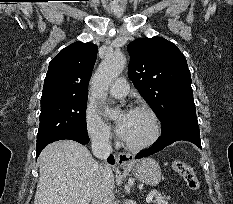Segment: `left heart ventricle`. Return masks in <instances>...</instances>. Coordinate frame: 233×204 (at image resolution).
Returning a JSON list of instances; mask_svg holds the SVG:
<instances>
[{
	"mask_svg": "<svg viewBox=\"0 0 233 204\" xmlns=\"http://www.w3.org/2000/svg\"><path fill=\"white\" fill-rule=\"evenodd\" d=\"M123 118L121 115L118 122ZM152 133V123L149 117L141 112H128L125 121V135L123 137L129 143H142Z\"/></svg>",
	"mask_w": 233,
	"mask_h": 204,
	"instance_id": "left-heart-ventricle-1",
	"label": "left heart ventricle"
}]
</instances>
